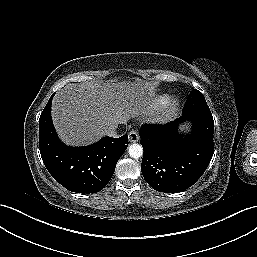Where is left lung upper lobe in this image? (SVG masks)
Returning a JSON list of instances; mask_svg holds the SVG:
<instances>
[{"label":"left lung upper lobe","mask_w":257,"mask_h":257,"mask_svg":"<svg viewBox=\"0 0 257 257\" xmlns=\"http://www.w3.org/2000/svg\"><path fill=\"white\" fill-rule=\"evenodd\" d=\"M204 113L211 114L203 94L198 90H193L186 101L182 114Z\"/></svg>","instance_id":"1"}]
</instances>
